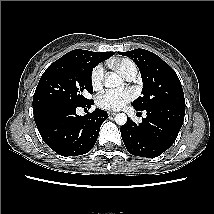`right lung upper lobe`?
Here are the masks:
<instances>
[{
  "label": "right lung upper lobe",
  "instance_id": "obj_1",
  "mask_svg": "<svg viewBox=\"0 0 214 214\" xmlns=\"http://www.w3.org/2000/svg\"><path fill=\"white\" fill-rule=\"evenodd\" d=\"M113 54L114 52H92L87 50L76 49L68 52L64 56L65 57H70V56L85 57L87 59L94 61L98 65L100 62L111 57Z\"/></svg>",
  "mask_w": 214,
  "mask_h": 214
}]
</instances>
